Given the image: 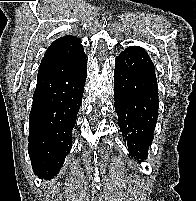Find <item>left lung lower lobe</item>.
Here are the masks:
<instances>
[{
  "instance_id": "0a47b994",
  "label": "left lung lower lobe",
  "mask_w": 196,
  "mask_h": 201,
  "mask_svg": "<svg viewBox=\"0 0 196 201\" xmlns=\"http://www.w3.org/2000/svg\"><path fill=\"white\" fill-rule=\"evenodd\" d=\"M115 111L129 151L146 159L158 118L155 67L144 49L130 46L116 57Z\"/></svg>"
}]
</instances>
